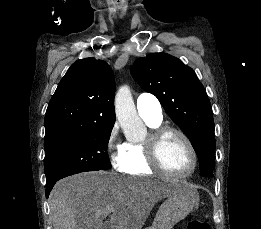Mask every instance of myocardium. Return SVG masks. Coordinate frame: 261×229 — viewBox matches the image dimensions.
Wrapping results in <instances>:
<instances>
[{
    "label": "myocardium",
    "instance_id": "f54148a6",
    "mask_svg": "<svg viewBox=\"0 0 261 229\" xmlns=\"http://www.w3.org/2000/svg\"><path fill=\"white\" fill-rule=\"evenodd\" d=\"M180 136L189 148L192 156V165L185 173H175L169 170L163 163L161 158V147L165 138L169 135ZM148 157L152 167L159 173L171 178H186L193 174L196 170L198 159L196 149L190 138L180 129L171 126H161L152 131L148 139Z\"/></svg>",
    "mask_w": 261,
    "mask_h": 229
}]
</instances>
